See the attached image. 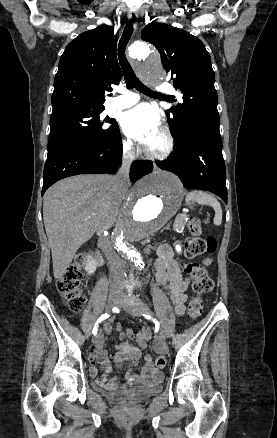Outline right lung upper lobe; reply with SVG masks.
<instances>
[{
  "mask_svg": "<svg viewBox=\"0 0 277 438\" xmlns=\"http://www.w3.org/2000/svg\"><path fill=\"white\" fill-rule=\"evenodd\" d=\"M108 25L86 31L68 44L59 62L52 94L51 115L104 110L105 92L119 84L118 35Z\"/></svg>",
  "mask_w": 277,
  "mask_h": 438,
  "instance_id": "right-lung-upper-lobe-1",
  "label": "right lung upper lobe"
}]
</instances>
